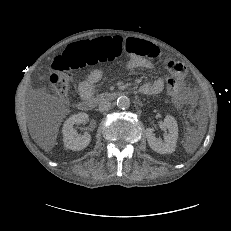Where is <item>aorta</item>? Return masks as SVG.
Segmentation results:
<instances>
[{"mask_svg": "<svg viewBox=\"0 0 231 231\" xmlns=\"http://www.w3.org/2000/svg\"><path fill=\"white\" fill-rule=\"evenodd\" d=\"M117 106L120 109H127L130 106V99L127 96H120L117 99Z\"/></svg>", "mask_w": 231, "mask_h": 231, "instance_id": "762f6f07", "label": "aorta"}]
</instances>
